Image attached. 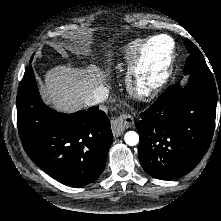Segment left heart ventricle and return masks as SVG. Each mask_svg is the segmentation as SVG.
Here are the masks:
<instances>
[{
  "label": "left heart ventricle",
  "instance_id": "left-heart-ventricle-1",
  "mask_svg": "<svg viewBox=\"0 0 221 221\" xmlns=\"http://www.w3.org/2000/svg\"><path fill=\"white\" fill-rule=\"evenodd\" d=\"M170 48V42L165 37L156 38L149 49V65L158 64Z\"/></svg>",
  "mask_w": 221,
  "mask_h": 221
}]
</instances>
